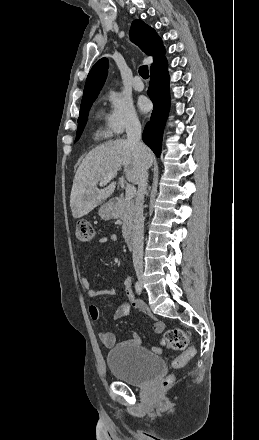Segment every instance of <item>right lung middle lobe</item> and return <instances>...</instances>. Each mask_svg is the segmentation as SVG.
I'll list each match as a JSON object with an SVG mask.
<instances>
[{
  "label": "right lung middle lobe",
  "instance_id": "1",
  "mask_svg": "<svg viewBox=\"0 0 259 440\" xmlns=\"http://www.w3.org/2000/svg\"><path fill=\"white\" fill-rule=\"evenodd\" d=\"M95 99H90V100H86L81 102V107H80V114H79V118H78V128H77V134H76V140H78L81 136V133L86 125V121H87V115L89 112V109L91 108L92 102Z\"/></svg>",
  "mask_w": 259,
  "mask_h": 440
}]
</instances>
